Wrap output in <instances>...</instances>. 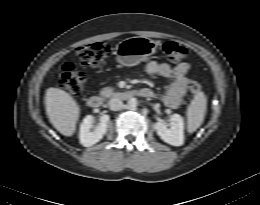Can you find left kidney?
I'll use <instances>...</instances> for the list:
<instances>
[{"label":"left kidney","instance_id":"5707ae66","mask_svg":"<svg viewBox=\"0 0 260 205\" xmlns=\"http://www.w3.org/2000/svg\"><path fill=\"white\" fill-rule=\"evenodd\" d=\"M154 129L164 142L172 146L184 144V121L179 114L171 115L169 125L164 122H156Z\"/></svg>","mask_w":260,"mask_h":205}]
</instances>
